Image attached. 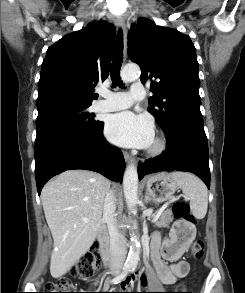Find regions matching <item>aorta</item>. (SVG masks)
Segmentation results:
<instances>
[{"label": "aorta", "mask_w": 245, "mask_h": 293, "mask_svg": "<svg viewBox=\"0 0 245 293\" xmlns=\"http://www.w3.org/2000/svg\"><path fill=\"white\" fill-rule=\"evenodd\" d=\"M139 67L135 64L126 65L121 73L124 82H132L139 75ZM123 189L129 211L135 212L138 202V172L134 165H128L123 177ZM139 261V243L137 237L132 239V247L126 260V267L135 268Z\"/></svg>", "instance_id": "1"}]
</instances>
